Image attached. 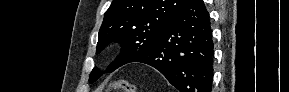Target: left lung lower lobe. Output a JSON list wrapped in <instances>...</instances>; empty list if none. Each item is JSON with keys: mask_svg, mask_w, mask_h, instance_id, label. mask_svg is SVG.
I'll use <instances>...</instances> for the list:
<instances>
[{"mask_svg": "<svg viewBox=\"0 0 289 92\" xmlns=\"http://www.w3.org/2000/svg\"><path fill=\"white\" fill-rule=\"evenodd\" d=\"M131 62L156 68L180 92H211L212 29L203 0H189L155 44Z\"/></svg>", "mask_w": 289, "mask_h": 92, "instance_id": "1", "label": "left lung lower lobe"}]
</instances>
